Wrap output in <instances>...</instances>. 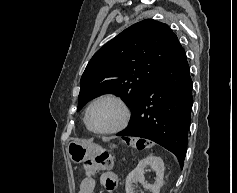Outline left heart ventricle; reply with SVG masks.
<instances>
[{
    "instance_id": "obj_1",
    "label": "left heart ventricle",
    "mask_w": 237,
    "mask_h": 193,
    "mask_svg": "<svg viewBox=\"0 0 237 193\" xmlns=\"http://www.w3.org/2000/svg\"><path fill=\"white\" fill-rule=\"evenodd\" d=\"M122 111L113 101L104 100L97 103L90 112V123L97 130L115 127L121 120Z\"/></svg>"
}]
</instances>
